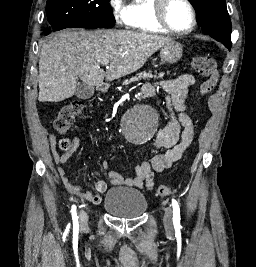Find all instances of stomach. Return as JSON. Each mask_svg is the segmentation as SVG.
I'll return each instance as SVG.
<instances>
[{"label": "stomach", "instance_id": "obj_1", "mask_svg": "<svg viewBox=\"0 0 256 267\" xmlns=\"http://www.w3.org/2000/svg\"><path fill=\"white\" fill-rule=\"evenodd\" d=\"M183 54V46L179 42H175L170 38V42L163 44L160 48V58L162 62H167V64H175L180 60Z\"/></svg>", "mask_w": 256, "mask_h": 267}]
</instances>
